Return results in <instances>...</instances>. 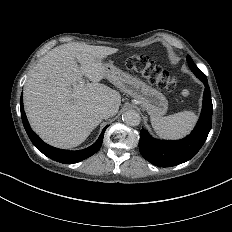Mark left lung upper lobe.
<instances>
[{"label": "left lung upper lobe", "instance_id": "left-lung-upper-lobe-1", "mask_svg": "<svg viewBox=\"0 0 232 232\" xmlns=\"http://www.w3.org/2000/svg\"><path fill=\"white\" fill-rule=\"evenodd\" d=\"M187 62L191 69V71L196 75L198 78H206V75L195 65L191 57L187 56Z\"/></svg>", "mask_w": 232, "mask_h": 232}]
</instances>
